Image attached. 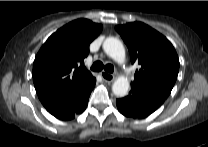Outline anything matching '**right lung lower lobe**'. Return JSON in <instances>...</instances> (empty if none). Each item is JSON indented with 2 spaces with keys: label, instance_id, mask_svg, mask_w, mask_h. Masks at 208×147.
I'll return each mask as SVG.
<instances>
[{
  "label": "right lung lower lobe",
  "instance_id": "1",
  "mask_svg": "<svg viewBox=\"0 0 208 147\" xmlns=\"http://www.w3.org/2000/svg\"><path fill=\"white\" fill-rule=\"evenodd\" d=\"M96 79L91 81L83 89L71 98L45 107L47 111L61 120L73 119L82 113L88 104L89 96L95 86Z\"/></svg>",
  "mask_w": 208,
  "mask_h": 147
}]
</instances>
